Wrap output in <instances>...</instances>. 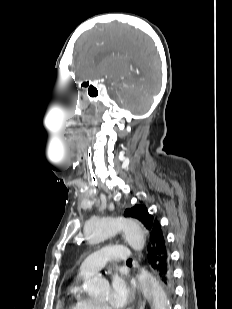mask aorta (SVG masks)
I'll list each match as a JSON object with an SVG mask.
<instances>
[{
	"label": "aorta",
	"mask_w": 232,
	"mask_h": 309,
	"mask_svg": "<svg viewBox=\"0 0 232 309\" xmlns=\"http://www.w3.org/2000/svg\"><path fill=\"white\" fill-rule=\"evenodd\" d=\"M118 232H123L125 240L135 251H141L145 245V233L140 225L122 217L100 218L89 221L84 227V233L89 244H98ZM138 282L144 297L151 309H170L167 296L156 279L144 268L140 269ZM108 282L98 278H89L84 282V289L91 297L105 299L108 294Z\"/></svg>",
	"instance_id": "1"
}]
</instances>
